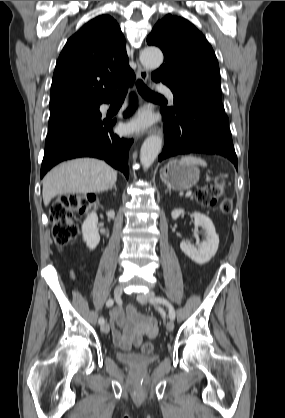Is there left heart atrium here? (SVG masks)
<instances>
[{"label": "left heart atrium", "mask_w": 285, "mask_h": 418, "mask_svg": "<svg viewBox=\"0 0 285 418\" xmlns=\"http://www.w3.org/2000/svg\"><path fill=\"white\" fill-rule=\"evenodd\" d=\"M152 122L151 116L146 111L139 112L126 126L130 133H137L145 130Z\"/></svg>", "instance_id": "1"}]
</instances>
